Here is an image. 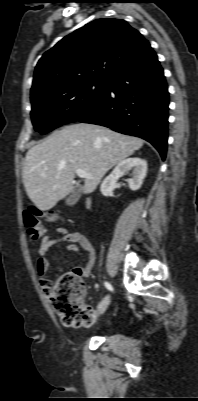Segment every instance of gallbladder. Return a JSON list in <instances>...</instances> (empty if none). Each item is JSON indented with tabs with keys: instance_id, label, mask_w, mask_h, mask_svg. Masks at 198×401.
<instances>
[{
	"instance_id": "bac80fb5",
	"label": "gallbladder",
	"mask_w": 198,
	"mask_h": 401,
	"mask_svg": "<svg viewBox=\"0 0 198 401\" xmlns=\"http://www.w3.org/2000/svg\"><path fill=\"white\" fill-rule=\"evenodd\" d=\"M80 198L79 187L76 186L72 191L71 195L66 199V204L72 206L77 203Z\"/></svg>"
}]
</instances>
